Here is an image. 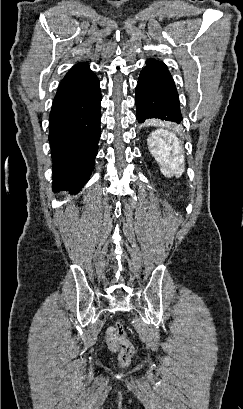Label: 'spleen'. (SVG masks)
<instances>
[{"label":"spleen","mask_w":243,"mask_h":409,"mask_svg":"<svg viewBox=\"0 0 243 409\" xmlns=\"http://www.w3.org/2000/svg\"><path fill=\"white\" fill-rule=\"evenodd\" d=\"M151 154L168 178L179 177L184 172V155L179 138L166 129L153 131L147 139Z\"/></svg>","instance_id":"obj_1"}]
</instances>
